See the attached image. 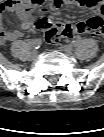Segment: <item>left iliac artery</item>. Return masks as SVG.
<instances>
[{"instance_id":"left-iliac-artery-1","label":"left iliac artery","mask_w":104,"mask_h":137,"mask_svg":"<svg viewBox=\"0 0 104 137\" xmlns=\"http://www.w3.org/2000/svg\"><path fill=\"white\" fill-rule=\"evenodd\" d=\"M78 43H79V41H78V40H73V41H72V45H73V46H77V45H78Z\"/></svg>"}]
</instances>
